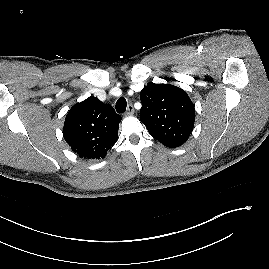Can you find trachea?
Here are the masks:
<instances>
[{"mask_svg": "<svg viewBox=\"0 0 269 269\" xmlns=\"http://www.w3.org/2000/svg\"><path fill=\"white\" fill-rule=\"evenodd\" d=\"M127 102L126 99L121 97L116 102V111L118 113H124L126 111Z\"/></svg>", "mask_w": 269, "mask_h": 269, "instance_id": "obj_1", "label": "trachea"}]
</instances>
